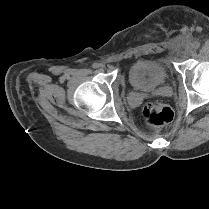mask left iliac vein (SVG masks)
<instances>
[{"label":"left iliac vein","mask_w":209,"mask_h":209,"mask_svg":"<svg viewBox=\"0 0 209 209\" xmlns=\"http://www.w3.org/2000/svg\"><path fill=\"white\" fill-rule=\"evenodd\" d=\"M187 53H188V54L192 53V49H191V48H188V49H187Z\"/></svg>","instance_id":"4c4485c4"}]
</instances>
